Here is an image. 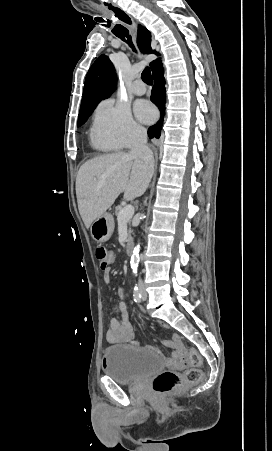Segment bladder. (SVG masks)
I'll list each match as a JSON object with an SVG mask.
<instances>
[{
  "instance_id": "31cf9c89",
  "label": "bladder",
  "mask_w": 272,
  "mask_h": 451,
  "mask_svg": "<svg viewBox=\"0 0 272 451\" xmlns=\"http://www.w3.org/2000/svg\"><path fill=\"white\" fill-rule=\"evenodd\" d=\"M106 367L104 372L118 384H132L159 372L163 358L157 354H145L132 346L113 345L103 353Z\"/></svg>"
}]
</instances>
